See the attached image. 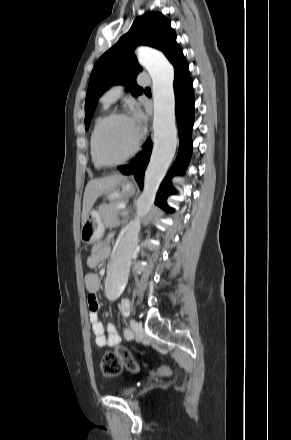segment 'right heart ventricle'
<instances>
[{
    "label": "right heart ventricle",
    "instance_id": "right-heart-ventricle-1",
    "mask_svg": "<svg viewBox=\"0 0 291 440\" xmlns=\"http://www.w3.org/2000/svg\"><path fill=\"white\" fill-rule=\"evenodd\" d=\"M101 119H102V117L100 116V117H98V118L95 120L94 127H93V130H92V133H91V138H90V151H91V156H92L93 163H94V165H95L96 167H101L102 165H100V164L97 162V160L95 159V157H94V151H93V136H94L95 129H96V127H97V125H98V123L100 122Z\"/></svg>",
    "mask_w": 291,
    "mask_h": 440
}]
</instances>
